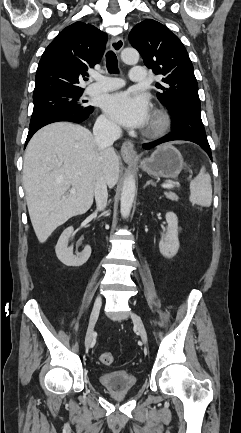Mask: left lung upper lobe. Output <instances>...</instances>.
<instances>
[{
	"label": "left lung upper lobe",
	"mask_w": 241,
	"mask_h": 433,
	"mask_svg": "<svg viewBox=\"0 0 241 433\" xmlns=\"http://www.w3.org/2000/svg\"><path fill=\"white\" fill-rule=\"evenodd\" d=\"M129 39L145 65L163 76L156 84L161 90L157 97L172 117L173 133L209 145L193 65L179 38L161 23L147 19L133 27Z\"/></svg>",
	"instance_id": "obj_1"
}]
</instances>
